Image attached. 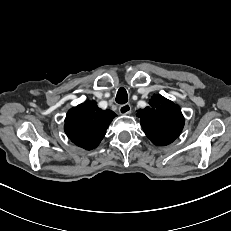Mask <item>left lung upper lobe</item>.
<instances>
[{"label": "left lung upper lobe", "mask_w": 231, "mask_h": 231, "mask_svg": "<svg viewBox=\"0 0 231 231\" xmlns=\"http://www.w3.org/2000/svg\"><path fill=\"white\" fill-rule=\"evenodd\" d=\"M150 106L138 110L137 116L147 137L158 146L172 143L184 126V117L179 106L172 101L154 95Z\"/></svg>", "instance_id": "1"}]
</instances>
